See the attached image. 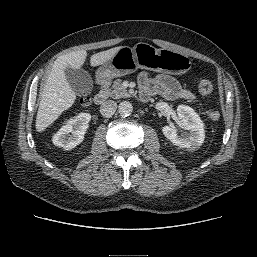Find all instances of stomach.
Listing matches in <instances>:
<instances>
[{"label":"stomach","instance_id":"obj_1","mask_svg":"<svg viewBox=\"0 0 257 257\" xmlns=\"http://www.w3.org/2000/svg\"><path fill=\"white\" fill-rule=\"evenodd\" d=\"M191 59L168 49H157L147 43H137L134 47H122L96 72L98 79L111 80L135 72L138 68L155 72L184 74L190 70Z\"/></svg>","mask_w":257,"mask_h":257}]
</instances>
